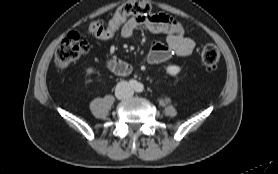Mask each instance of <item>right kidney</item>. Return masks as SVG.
Segmentation results:
<instances>
[{"label":"right kidney","instance_id":"obj_1","mask_svg":"<svg viewBox=\"0 0 278 174\" xmlns=\"http://www.w3.org/2000/svg\"><path fill=\"white\" fill-rule=\"evenodd\" d=\"M93 72H94V69H93L92 67H89V68L86 69V74H87V75H90V74H92Z\"/></svg>","mask_w":278,"mask_h":174}]
</instances>
